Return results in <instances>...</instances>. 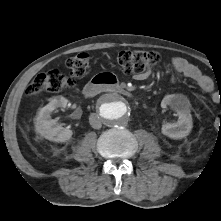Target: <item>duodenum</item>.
Segmentation results:
<instances>
[{
  "instance_id": "1",
  "label": "duodenum",
  "mask_w": 221,
  "mask_h": 221,
  "mask_svg": "<svg viewBox=\"0 0 221 221\" xmlns=\"http://www.w3.org/2000/svg\"><path fill=\"white\" fill-rule=\"evenodd\" d=\"M104 90L126 96L130 95V92L125 87L119 85L114 78L103 74L93 77L92 80L85 85L83 92L86 97H93Z\"/></svg>"
}]
</instances>
